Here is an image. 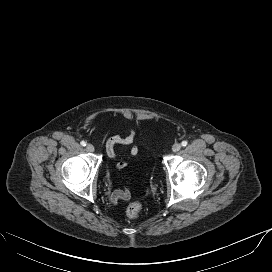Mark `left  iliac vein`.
Wrapping results in <instances>:
<instances>
[{"mask_svg":"<svg viewBox=\"0 0 272 272\" xmlns=\"http://www.w3.org/2000/svg\"><path fill=\"white\" fill-rule=\"evenodd\" d=\"M181 149V145L179 143H176L172 146L173 152H178Z\"/></svg>","mask_w":272,"mask_h":272,"instance_id":"1","label":"left iliac vein"}]
</instances>
